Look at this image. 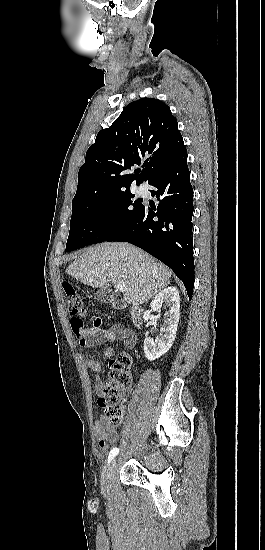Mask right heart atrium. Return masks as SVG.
Wrapping results in <instances>:
<instances>
[{"label":"right heart atrium","instance_id":"d8ad5b80","mask_svg":"<svg viewBox=\"0 0 265 550\" xmlns=\"http://www.w3.org/2000/svg\"><path fill=\"white\" fill-rule=\"evenodd\" d=\"M113 211H114V210H113L112 207H108V208L106 209V214H107V215H112V214H113Z\"/></svg>","mask_w":265,"mask_h":550}]
</instances>
